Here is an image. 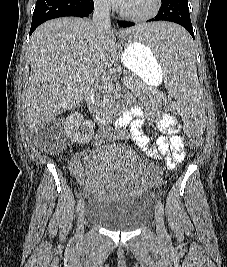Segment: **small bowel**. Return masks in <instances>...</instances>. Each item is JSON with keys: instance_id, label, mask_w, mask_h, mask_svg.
I'll return each mask as SVG.
<instances>
[{"instance_id": "obj_1", "label": "small bowel", "mask_w": 227, "mask_h": 267, "mask_svg": "<svg viewBox=\"0 0 227 267\" xmlns=\"http://www.w3.org/2000/svg\"><path fill=\"white\" fill-rule=\"evenodd\" d=\"M145 120L154 122L164 134L153 139L143 131ZM114 127L127 130L132 142L146 157L163 161L168 170L175 169L181 163V157L185 153V140L181 135L182 127L174 116L162 113L156 103H148L143 110L132 109L119 116L114 122ZM69 169L81 183H88L91 169L82 158H75ZM91 190L99 192L104 190V186H94Z\"/></svg>"}]
</instances>
